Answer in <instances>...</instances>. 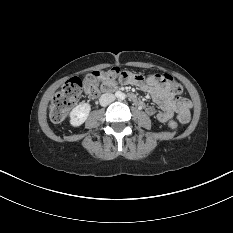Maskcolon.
<instances>
[{
	"mask_svg": "<svg viewBox=\"0 0 233 233\" xmlns=\"http://www.w3.org/2000/svg\"><path fill=\"white\" fill-rule=\"evenodd\" d=\"M120 73L117 67L95 71L83 78L74 77L67 81L61 90L54 96L50 106V118L53 122H61L65 119L67 113L83 96L96 97L103 89H111L116 83V76ZM159 79L169 83L173 94L180 95L183 87L175 82L173 78L167 74L156 75ZM171 129H176L175 121L169 122Z\"/></svg>",
	"mask_w": 233,
	"mask_h": 233,
	"instance_id": "colon-1",
	"label": "colon"
}]
</instances>
